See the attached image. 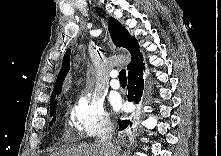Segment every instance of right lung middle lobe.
Segmentation results:
<instances>
[{"mask_svg":"<svg viewBox=\"0 0 221 156\" xmlns=\"http://www.w3.org/2000/svg\"><path fill=\"white\" fill-rule=\"evenodd\" d=\"M56 105V102L50 105V116H55ZM52 121H55V117L52 119Z\"/></svg>","mask_w":221,"mask_h":156,"instance_id":"1","label":"right lung middle lobe"}]
</instances>
